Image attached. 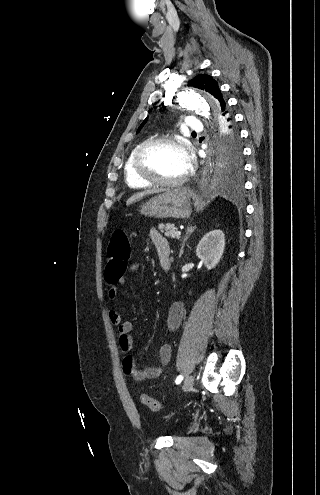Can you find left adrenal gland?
Returning a JSON list of instances; mask_svg holds the SVG:
<instances>
[{"label":"left adrenal gland","instance_id":"1","mask_svg":"<svg viewBox=\"0 0 320 495\" xmlns=\"http://www.w3.org/2000/svg\"><path fill=\"white\" fill-rule=\"evenodd\" d=\"M196 227L195 226H191V227H188L187 229V232H186V236L185 238L183 239V242L181 244V249H180V253H179V257H181V255L183 254V249H184V246L187 242V240L189 239V237L192 235V233L195 231Z\"/></svg>","mask_w":320,"mask_h":495}]
</instances>
